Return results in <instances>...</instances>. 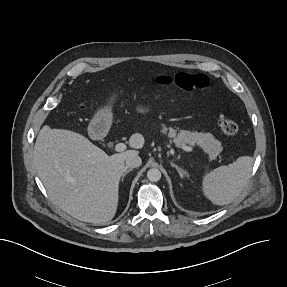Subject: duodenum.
Here are the masks:
<instances>
[{
	"instance_id": "1",
	"label": "duodenum",
	"mask_w": 287,
	"mask_h": 287,
	"mask_svg": "<svg viewBox=\"0 0 287 287\" xmlns=\"http://www.w3.org/2000/svg\"><path fill=\"white\" fill-rule=\"evenodd\" d=\"M92 133L94 135L104 137L108 133V126L105 123H95L92 126Z\"/></svg>"
}]
</instances>
